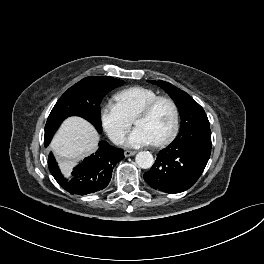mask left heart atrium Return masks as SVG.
Returning a JSON list of instances; mask_svg holds the SVG:
<instances>
[{"label":"left heart atrium","instance_id":"39dd6f15","mask_svg":"<svg viewBox=\"0 0 264 264\" xmlns=\"http://www.w3.org/2000/svg\"><path fill=\"white\" fill-rule=\"evenodd\" d=\"M152 138L140 127H135L128 135L125 143L130 147H141L152 144Z\"/></svg>","mask_w":264,"mask_h":264}]
</instances>
